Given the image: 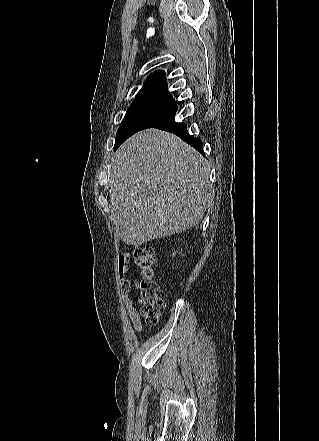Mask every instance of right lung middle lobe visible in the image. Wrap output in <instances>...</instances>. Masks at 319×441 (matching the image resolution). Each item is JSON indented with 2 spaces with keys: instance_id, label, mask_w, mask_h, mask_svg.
Listing matches in <instances>:
<instances>
[{
  "instance_id": "right-lung-middle-lobe-1",
  "label": "right lung middle lobe",
  "mask_w": 319,
  "mask_h": 441,
  "mask_svg": "<svg viewBox=\"0 0 319 441\" xmlns=\"http://www.w3.org/2000/svg\"><path fill=\"white\" fill-rule=\"evenodd\" d=\"M176 104L153 99H135L122 120L115 140L116 150L126 139L145 129L157 117L171 110Z\"/></svg>"
}]
</instances>
